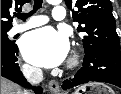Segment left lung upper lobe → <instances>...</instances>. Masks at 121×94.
<instances>
[{
	"mask_svg": "<svg viewBox=\"0 0 121 94\" xmlns=\"http://www.w3.org/2000/svg\"><path fill=\"white\" fill-rule=\"evenodd\" d=\"M65 3L70 9L78 8L72 15L79 22L78 31L87 33L82 40L85 52L120 51L110 0H65Z\"/></svg>",
	"mask_w": 121,
	"mask_h": 94,
	"instance_id": "obj_1",
	"label": "left lung upper lobe"
}]
</instances>
